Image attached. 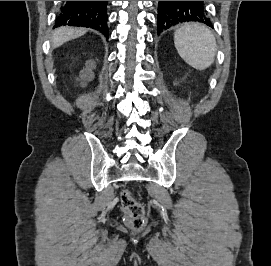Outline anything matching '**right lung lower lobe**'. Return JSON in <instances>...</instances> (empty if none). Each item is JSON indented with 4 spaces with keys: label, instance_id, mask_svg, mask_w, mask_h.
I'll return each instance as SVG.
<instances>
[{
    "label": "right lung lower lobe",
    "instance_id": "right-lung-lower-lobe-1",
    "mask_svg": "<svg viewBox=\"0 0 271 266\" xmlns=\"http://www.w3.org/2000/svg\"><path fill=\"white\" fill-rule=\"evenodd\" d=\"M107 4L108 1H64L55 26L89 27L108 38Z\"/></svg>",
    "mask_w": 271,
    "mask_h": 266
}]
</instances>
